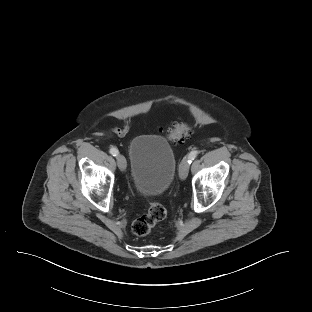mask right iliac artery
I'll return each instance as SVG.
<instances>
[{"instance_id":"1","label":"right iliac artery","mask_w":312,"mask_h":312,"mask_svg":"<svg viewBox=\"0 0 312 312\" xmlns=\"http://www.w3.org/2000/svg\"><path fill=\"white\" fill-rule=\"evenodd\" d=\"M110 153H111L113 156H117V155L119 154V151H118V149L112 147V148L110 149Z\"/></svg>"}]
</instances>
